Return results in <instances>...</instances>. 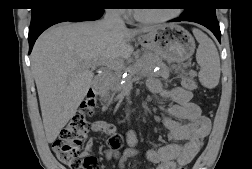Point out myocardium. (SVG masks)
<instances>
[{"label": "myocardium", "mask_w": 252, "mask_h": 169, "mask_svg": "<svg viewBox=\"0 0 252 169\" xmlns=\"http://www.w3.org/2000/svg\"><path fill=\"white\" fill-rule=\"evenodd\" d=\"M178 14H179V11L178 10H174L171 13H168V14H165V15H161V16H157V17H143V16H140L137 13V10H133V16H134V18L137 21H139L141 23H145V24L159 23V22L167 21V20H170V19H173V18L177 17Z\"/></svg>", "instance_id": "myocardium-1"}]
</instances>
